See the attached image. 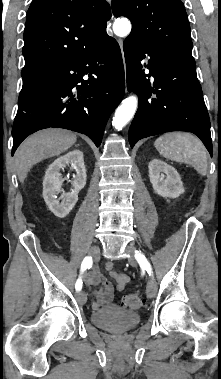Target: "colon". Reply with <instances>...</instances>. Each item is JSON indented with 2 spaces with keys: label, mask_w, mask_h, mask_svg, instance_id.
I'll return each instance as SVG.
<instances>
[{
  "label": "colon",
  "mask_w": 221,
  "mask_h": 379,
  "mask_svg": "<svg viewBox=\"0 0 221 379\" xmlns=\"http://www.w3.org/2000/svg\"><path fill=\"white\" fill-rule=\"evenodd\" d=\"M121 304L129 308H138L143 304V299L138 295L130 294L122 299Z\"/></svg>",
  "instance_id": "5ec220e1"
}]
</instances>
